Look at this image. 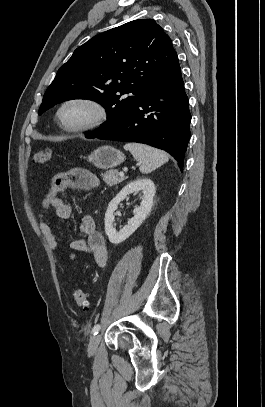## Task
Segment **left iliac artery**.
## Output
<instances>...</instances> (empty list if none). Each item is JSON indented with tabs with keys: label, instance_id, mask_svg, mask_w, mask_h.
Here are the masks:
<instances>
[{
	"label": "left iliac artery",
	"instance_id": "left-iliac-artery-1",
	"mask_svg": "<svg viewBox=\"0 0 265 407\" xmlns=\"http://www.w3.org/2000/svg\"><path fill=\"white\" fill-rule=\"evenodd\" d=\"M99 330H100V325H99V324H96V325L93 327L92 332H93L94 335H96V334H98Z\"/></svg>",
	"mask_w": 265,
	"mask_h": 407
}]
</instances>
